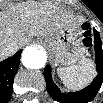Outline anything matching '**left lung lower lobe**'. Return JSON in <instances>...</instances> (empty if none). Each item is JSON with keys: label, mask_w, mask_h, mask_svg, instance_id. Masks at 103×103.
Here are the masks:
<instances>
[{"label": "left lung lower lobe", "mask_w": 103, "mask_h": 103, "mask_svg": "<svg viewBox=\"0 0 103 103\" xmlns=\"http://www.w3.org/2000/svg\"><path fill=\"white\" fill-rule=\"evenodd\" d=\"M95 38V57L98 75L92 83L85 89L74 93H63L53 83L51 77V67L46 66L44 70V77L46 80L47 90L50 96L61 103H87L90 102L97 94L103 83V51L102 43L98 32L94 29Z\"/></svg>", "instance_id": "left-lung-lower-lobe-1"}]
</instances>
